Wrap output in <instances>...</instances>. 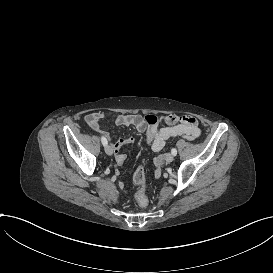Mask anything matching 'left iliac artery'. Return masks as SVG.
Returning <instances> with one entry per match:
<instances>
[{
	"label": "left iliac artery",
	"instance_id": "44dca946",
	"mask_svg": "<svg viewBox=\"0 0 273 273\" xmlns=\"http://www.w3.org/2000/svg\"><path fill=\"white\" fill-rule=\"evenodd\" d=\"M171 153L175 156L177 154V150L175 148H172Z\"/></svg>",
	"mask_w": 273,
	"mask_h": 273
}]
</instances>
